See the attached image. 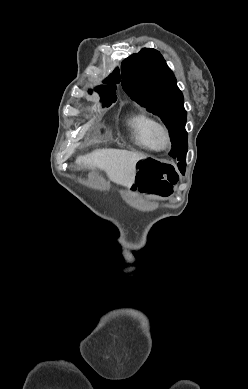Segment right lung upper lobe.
<instances>
[{
    "label": "right lung upper lobe",
    "mask_w": 248,
    "mask_h": 389,
    "mask_svg": "<svg viewBox=\"0 0 248 389\" xmlns=\"http://www.w3.org/2000/svg\"><path fill=\"white\" fill-rule=\"evenodd\" d=\"M120 82V74L119 70L115 69L113 73H111L104 81L103 83L109 84V85H101L97 87V92L99 93L100 97H114L116 96V84Z\"/></svg>",
    "instance_id": "1"
}]
</instances>
